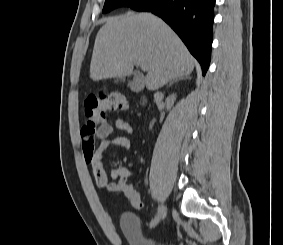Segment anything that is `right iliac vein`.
I'll return each instance as SVG.
<instances>
[{
  "label": "right iliac vein",
  "instance_id": "right-iliac-vein-1",
  "mask_svg": "<svg viewBox=\"0 0 283 245\" xmlns=\"http://www.w3.org/2000/svg\"><path fill=\"white\" fill-rule=\"evenodd\" d=\"M166 213H167V206L163 204L158 210L153 226L159 224L166 216Z\"/></svg>",
  "mask_w": 283,
  "mask_h": 245
}]
</instances>
